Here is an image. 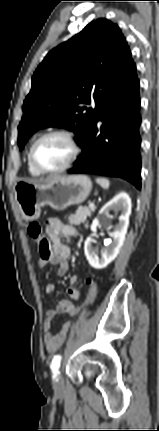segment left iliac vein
<instances>
[{"mask_svg": "<svg viewBox=\"0 0 159 431\" xmlns=\"http://www.w3.org/2000/svg\"><path fill=\"white\" fill-rule=\"evenodd\" d=\"M63 377L61 374V371H59L56 375H55V379H54V389L56 392H60L63 389Z\"/></svg>", "mask_w": 159, "mask_h": 431, "instance_id": "left-iliac-vein-1", "label": "left iliac vein"}]
</instances>
